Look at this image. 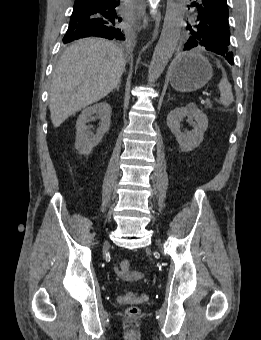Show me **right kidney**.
I'll list each match as a JSON object with an SVG mask.
<instances>
[{
  "instance_id": "ca27d5eb",
  "label": "right kidney",
  "mask_w": 261,
  "mask_h": 340,
  "mask_svg": "<svg viewBox=\"0 0 261 340\" xmlns=\"http://www.w3.org/2000/svg\"><path fill=\"white\" fill-rule=\"evenodd\" d=\"M111 113V106L106 102L95 104L82 111L76 122L75 140V148L80 154L89 155L92 149L100 143L110 128ZM93 115H97L101 120L96 134L91 132V126L86 125Z\"/></svg>"
}]
</instances>
